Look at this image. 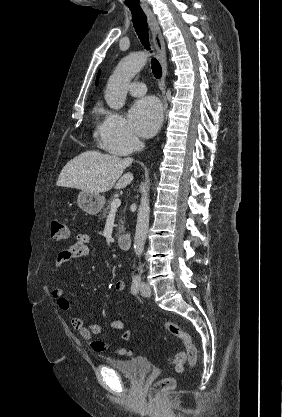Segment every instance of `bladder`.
Wrapping results in <instances>:
<instances>
[{
    "mask_svg": "<svg viewBox=\"0 0 282 417\" xmlns=\"http://www.w3.org/2000/svg\"><path fill=\"white\" fill-rule=\"evenodd\" d=\"M106 363L132 383H141L151 371V362L142 356L107 358Z\"/></svg>",
    "mask_w": 282,
    "mask_h": 417,
    "instance_id": "obj_1",
    "label": "bladder"
}]
</instances>
